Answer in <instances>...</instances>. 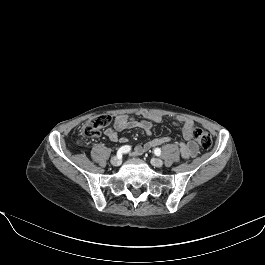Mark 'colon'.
I'll return each mask as SVG.
<instances>
[{"instance_id": "1", "label": "colon", "mask_w": 265, "mask_h": 265, "mask_svg": "<svg viewBox=\"0 0 265 265\" xmlns=\"http://www.w3.org/2000/svg\"><path fill=\"white\" fill-rule=\"evenodd\" d=\"M111 122V118L108 115H99L91 120H89L84 126H83V134L87 138H93L96 136V134L109 125ZM193 137L194 140L202 147L203 149H209L212 146V138L211 135L200 128H196L193 131Z\"/></svg>"}]
</instances>
